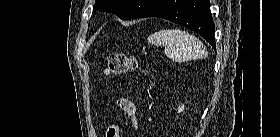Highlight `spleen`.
<instances>
[{
	"instance_id": "obj_1",
	"label": "spleen",
	"mask_w": 280,
	"mask_h": 137,
	"mask_svg": "<svg viewBox=\"0 0 280 137\" xmlns=\"http://www.w3.org/2000/svg\"><path fill=\"white\" fill-rule=\"evenodd\" d=\"M148 42L164 46L165 55L175 62H184L207 57L203 43L189 32L180 29H162L151 34Z\"/></svg>"
}]
</instances>
